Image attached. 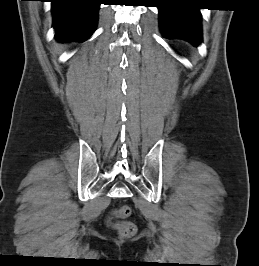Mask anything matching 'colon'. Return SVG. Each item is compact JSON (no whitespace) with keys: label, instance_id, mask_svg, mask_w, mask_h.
I'll use <instances>...</instances> for the list:
<instances>
[{"label":"colon","instance_id":"5ec220e1","mask_svg":"<svg viewBox=\"0 0 259 266\" xmlns=\"http://www.w3.org/2000/svg\"><path fill=\"white\" fill-rule=\"evenodd\" d=\"M130 215L131 208L128 205H121L113 211L109 220V224L122 238L132 237L136 232L135 224L126 220Z\"/></svg>","mask_w":259,"mask_h":266}]
</instances>
